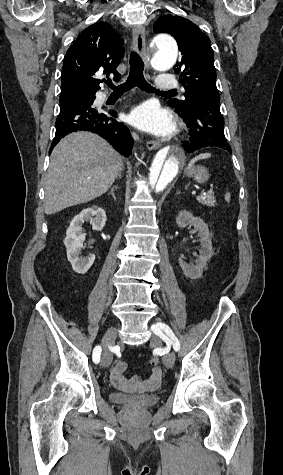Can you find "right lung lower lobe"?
Listing matches in <instances>:
<instances>
[{
    "mask_svg": "<svg viewBox=\"0 0 283 475\" xmlns=\"http://www.w3.org/2000/svg\"><path fill=\"white\" fill-rule=\"evenodd\" d=\"M95 98H79L60 103L55 138L49 153L66 135L76 131H90L106 139L122 155H130L133 140L129 129L116 120L115 110L93 108Z\"/></svg>",
    "mask_w": 283,
    "mask_h": 475,
    "instance_id": "obj_1",
    "label": "right lung lower lobe"
}]
</instances>
